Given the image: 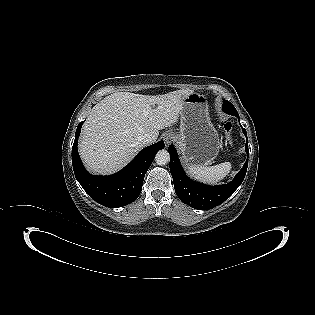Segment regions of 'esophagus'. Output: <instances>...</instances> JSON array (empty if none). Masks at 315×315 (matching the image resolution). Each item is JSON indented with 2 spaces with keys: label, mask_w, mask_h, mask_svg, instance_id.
<instances>
[{
  "label": "esophagus",
  "mask_w": 315,
  "mask_h": 315,
  "mask_svg": "<svg viewBox=\"0 0 315 315\" xmlns=\"http://www.w3.org/2000/svg\"><path fill=\"white\" fill-rule=\"evenodd\" d=\"M163 140L165 142L166 147H168L174 140L172 133H165L163 136Z\"/></svg>",
  "instance_id": "1"
}]
</instances>
